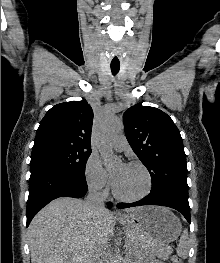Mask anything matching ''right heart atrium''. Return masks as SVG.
Returning <instances> with one entry per match:
<instances>
[{
    "label": "right heart atrium",
    "instance_id": "right-heart-atrium-1",
    "mask_svg": "<svg viewBox=\"0 0 220 263\" xmlns=\"http://www.w3.org/2000/svg\"><path fill=\"white\" fill-rule=\"evenodd\" d=\"M84 179L95 193H105L110 186V177L97 155L91 154L84 166Z\"/></svg>",
    "mask_w": 220,
    "mask_h": 263
}]
</instances>
